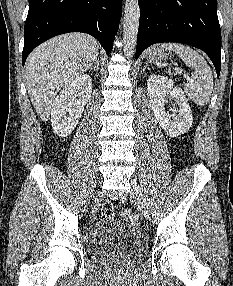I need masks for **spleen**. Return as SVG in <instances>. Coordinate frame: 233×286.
I'll return each instance as SVG.
<instances>
[{"mask_svg": "<svg viewBox=\"0 0 233 286\" xmlns=\"http://www.w3.org/2000/svg\"><path fill=\"white\" fill-rule=\"evenodd\" d=\"M161 47L173 50L188 67L194 69L191 80L184 85V90L190 100L199 106H205L213 91V75L205 59L194 49L180 43H166Z\"/></svg>", "mask_w": 233, "mask_h": 286, "instance_id": "spleen-1", "label": "spleen"}]
</instances>
